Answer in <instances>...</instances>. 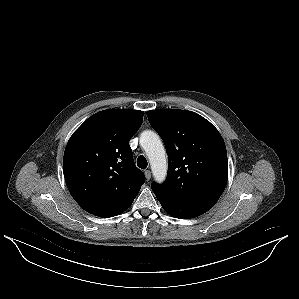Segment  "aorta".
I'll use <instances>...</instances> for the list:
<instances>
[{"mask_svg": "<svg viewBox=\"0 0 299 299\" xmlns=\"http://www.w3.org/2000/svg\"><path fill=\"white\" fill-rule=\"evenodd\" d=\"M140 145L149 158L154 179L161 183L167 175L166 151L157 133L147 130L140 135Z\"/></svg>", "mask_w": 299, "mask_h": 299, "instance_id": "1", "label": "aorta"}]
</instances>
